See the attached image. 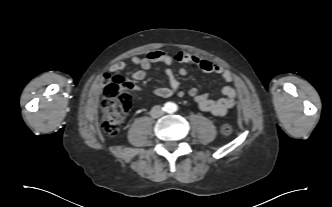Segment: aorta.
<instances>
[{"label":"aorta","instance_id":"762f6f07","mask_svg":"<svg viewBox=\"0 0 332 207\" xmlns=\"http://www.w3.org/2000/svg\"><path fill=\"white\" fill-rule=\"evenodd\" d=\"M169 105H170V108L174 110L175 104L174 103H169ZM173 110H171V111H173Z\"/></svg>","mask_w":332,"mask_h":207}]
</instances>
